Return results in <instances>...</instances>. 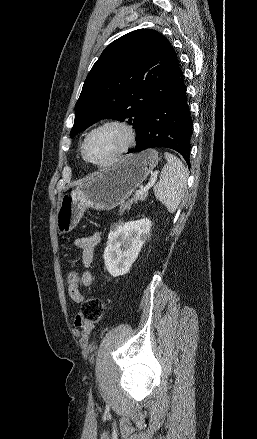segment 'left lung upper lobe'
<instances>
[{
    "label": "left lung upper lobe",
    "mask_w": 257,
    "mask_h": 439,
    "mask_svg": "<svg viewBox=\"0 0 257 439\" xmlns=\"http://www.w3.org/2000/svg\"><path fill=\"white\" fill-rule=\"evenodd\" d=\"M176 61L170 42L155 30H135L113 41L85 80L70 137L102 118L126 119L138 142L142 119Z\"/></svg>",
    "instance_id": "1"
}]
</instances>
